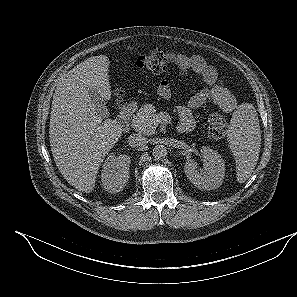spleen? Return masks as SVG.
I'll return each mask as SVG.
<instances>
[{
  "label": "spleen",
  "instance_id": "spleen-1",
  "mask_svg": "<svg viewBox=\"0 0 297 297\" xmlns=\"http://www.w3.org/2000/svg\"><path fill=\"white\" fill-rule=\"evenodd\" d=\"M227 139L236 162L237 180L244 183L255 169L261 146L259 119L252 104L244 103L233 113Z\"/></svg>",
  "mask_w": 297,
  "mask_h": 297
}]
</instances>
